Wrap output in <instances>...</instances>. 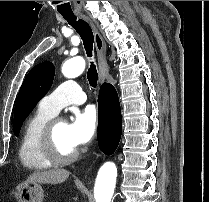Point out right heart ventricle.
I'll return each instance as SVG.
<instances>
[{
  "label": "right heart ventricle",
  "instance_id": "e07e8e85",
  "mask_svg": "<svg viewBox=\"0 0 209 202\" xmlns=\"http://www.w3.org/2000/svg\"><path fill=\"white\" fill-rule=\"evenodd\" d=\"M54 117L39 108L25 122L19 143L18 155L22 164L33 170H44L52 166V161L44 154L40 138L46 124Z\"/></svg>",
  "mask_w": 209,
  "mask_h": 202
}]
</instances>
